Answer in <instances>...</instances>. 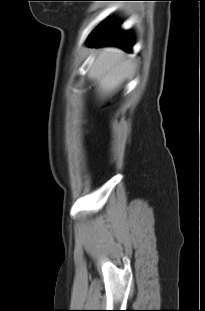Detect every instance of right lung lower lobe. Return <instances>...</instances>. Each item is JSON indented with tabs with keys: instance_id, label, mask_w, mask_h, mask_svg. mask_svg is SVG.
Listing matches in <instances>:
<instances>
[{
	"instance_id": "1",
	"label": "right lung lower lobe",
	"mask_w": 205,
	"mask_h": 311,
	"mask_svg": "<svg viewBox=\"0 0 205 311\" xmlns=\"http://www.w3.org/2000/svg\"><path fill=\"white\" fill-rule=\"evenodd\" d=\"M118 22H102L90 34L87 42L88 47L113 45L130 52L134 38L130 32L119 29Z\"/></svg>"
}]
</instances>
